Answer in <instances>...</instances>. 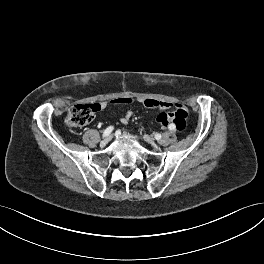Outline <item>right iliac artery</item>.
Masks as SVG:
<instances>
[{
  "label": "right iliac artery",
  "instance_id": "1",
  "mask_svg": "<svg viewBox=\"0 0 264 264\" xmlns=\"http://www.w3.org/2000/svg\"><path fill=\"white\" fill-rule=\"evenodd\" d=\"M114 127L113 126H109L107 127L104 132H103V137L108 136L112 131H113Z\"/></svg>",
  "mask_w": 264,
  "mask_h": 264
}]
</instances>
